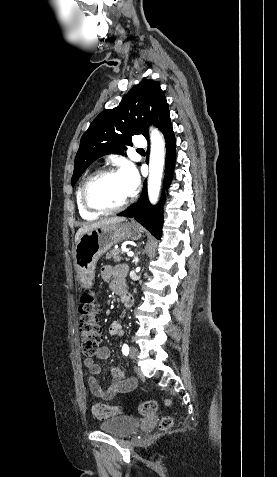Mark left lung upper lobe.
Segmentation results:
<instances>
[{"mask_svg":"<svg viewBox=\"0 0 277 477\" xmlns=\"http://www.w3.org/2000/svg\"><path fill=\"white\" fill-rule=\"evenodd\" d=\"M169 121L170 112L160 84L153 80L141 81L119 106L101 112L83 134L75 157L72 186L99 157L109 153L122 154L125 145L132 144L133 135L143 134L148 139L147 122L161 130Z\"/></svg>","mask_w":277,"mask_h":477,"instance_id":"left-lung-upper-lobe-1","label":"left lung upper lobe"}]
</instances>
